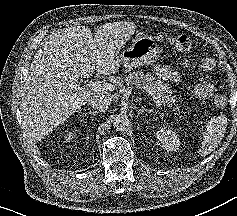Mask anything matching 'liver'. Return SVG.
I'll list each match as a JSON object with an SVG mask.
<instances>
[{
	"label": "liver",
	"mask_w": 237,
	"mask_h": 216,
	"mask_svg": "<svg viewBox=\"0 0 237 216\" xmlns=\"http://www.w3.org/2000/svg\"><path fill=\"white\" fill-rule=\"evenodd\" d=\"M92 37L87 26L67 27L36 53L20 96L26 129L33 139L54 131L77 113L93 93L103 91L110 95L112 87L105 81L88 87L77 83V79L91 78L94 73L109 76L119 70L113 43H95Z\"/></svg>",
	"instance_id": "1"
}]
</instances>
